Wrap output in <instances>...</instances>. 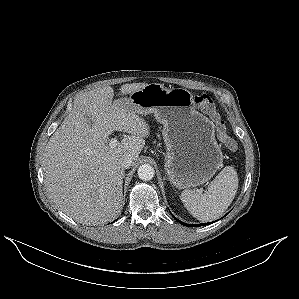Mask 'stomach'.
<instances>
[{
    "label": "stomach",
    "instance_id": "0dacf381",
    "mask_svg": "<svg viewBox=\"0 0 299 299\" xmlns=\"http://www.w3.org/2000/svg\"><path fill=\"white\" fill-rule=\"evenodd\" d=\"M121 100L132 105L138 114L153 113L163 125L165 172L176 188L202 185L222 166L224 156L213 123L196 110L190 91L152 83Z\"/></svg>",
    "mask_w": 299,
    "mask_h": 299
}]
</instances>
